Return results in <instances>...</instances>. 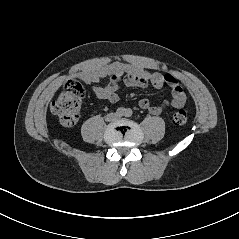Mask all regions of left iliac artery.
Listing matches in <instances>:
<instances>
[{"label":"left iliac artery","mask_w":239,"mask_h":239,"mask_svg":"<svg viewBox=\"0 0 239 239\" xmlns=\"http://www.w3.org/2000/svg\"><path fill=\"white\" fill-rule=\"evenodd\" d=\"M132 114H133V111H132L130 108H128V109L125 110V116H126V117H131Z\"/></svg>","instance_id":"obj_1"}]
</instances>
